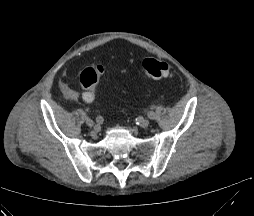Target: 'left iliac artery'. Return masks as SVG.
<instances>
[{"instance_id":"obj_1","label":"left iliac artery","mask_w":254,"mask_h":216,"mask_svg":"<svg viewBox=\"0 0 254 216\" xmlns=\"http://www.w3.org/2000/svg\"><path fill=\"white\" fill-rule=\"evenodd\" d=\"M147 117H148L149 119H151V120H154L155 117H156V114H155L154 111H149V112L147 113Z\"/></svg>"}]
</instances>
